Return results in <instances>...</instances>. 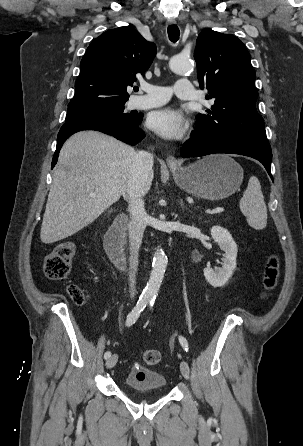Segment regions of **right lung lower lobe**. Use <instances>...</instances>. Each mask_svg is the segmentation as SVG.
I'll return each instance as SVG.
<instances>
[{
    "label": "right lung lower lobe",
    "instance_id": "98d812e1",
    "mask_svg": "<svg viewBox=\"0 0 303 446\" xmlns=\"http://www.w3.org/2000/svg\"><path fill=\"white\" fill-rule=\"evenodd\" d=\"M142 119L143 115L133 122L102 115H88L66 121L58 133L52 168L57 163L59 150L63 143L72 134L82 130H96L112 135L130 145H135L145 137L144 132L139 128Z\"/></svg>",
    "mask_w": 303,
    "mask_h": 446
}]
</instances>
